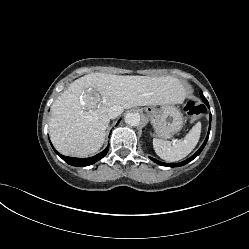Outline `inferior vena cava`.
<instances>
[{"mask_svg":"<svg viewBox=\"0 0 249 249\" xmlns=\"http://www.w3.org/2000/svg\"><path fill=\"white\" fill-rule=\"evenodd\" d=\"M123 112V107L119 105H114L108 110V116L111 119H115Z\"/></svg>","mask_w":249,"mask_h":249,"instance_id":"602c4592","label":"inferior vena cava"}]
</instances>
